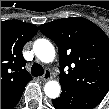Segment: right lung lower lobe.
Returning <instances> with one entry per match:
<instances>
[{"mask_svg": "<svg viewBox=\"0 0 109 109\" xmlns=\"http://www.w3.org/2000/svg\"><path fill=\"white\" fill-rule=\"evenodd\" d=\"M26 85L21 86L11 95L1 99V109H12L20 100Z\"/></svg>", "mask_w": 109, "mask_h": 109, "instance_id": "obj_1", "label": "right lung lower lobe"}]
</instances>
